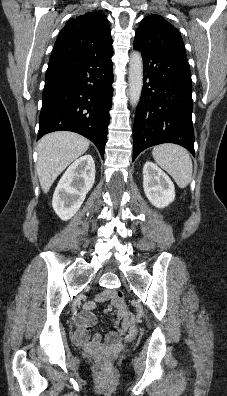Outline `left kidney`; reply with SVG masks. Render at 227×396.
I'll return each mask as SVG.
<instances>
[{"instance_id": "5707ae66", "label": "left kidney", "mask_w": 227, "mask_h": 396, "mask_svg": "<svg viewBox=\"0 0 227 396\" xmlns=\"http://www.w3.org/2000/svg\"><path fill=\"white\" fill-rule=\"evenodd\" d=\"M143 188L152 205L164 208L175 199L174 184L156 164L147 161L143 167Z\"/></svg>"}]
</instances>
